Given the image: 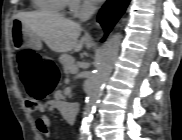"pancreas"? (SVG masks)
<instances>
[{"label":"pancreas","instance_id":"cf45deb5","mask_svg":"<svg viewBox=\"0 0 182 140\" xmlns=\"http://www.w3.org/2000/svg\"><path fill=\"white\" fill-rule=\"evenodd\" d=\"M60 63L63 65L65 73H71L73 69L77 68L74 58L69 55L60 57Z\"/></svg>","mask_w":182,"mask_h":140}]
</instances>
